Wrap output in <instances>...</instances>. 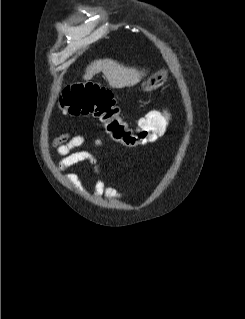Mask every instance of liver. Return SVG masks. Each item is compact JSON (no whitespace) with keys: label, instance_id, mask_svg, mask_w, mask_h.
<instances>
[{"label":"liver","instance_id":"6515ba94","mask_svg":"<svg viewBox=\"0 0 245 319\" xmlns=\"http://www.w3.org/2000/svg\"><path fill=\"white\" fill-rule=\"evenodd\" d=\"M99 72L104 74L111 87L118 89L133 86L146 76L144 69L139 71L112 59H99L87 66L83 79L91 80Z\"/></svg>","mask_w":245,"mask_h":319}]
</instances>
